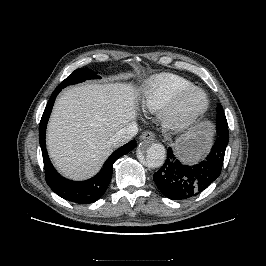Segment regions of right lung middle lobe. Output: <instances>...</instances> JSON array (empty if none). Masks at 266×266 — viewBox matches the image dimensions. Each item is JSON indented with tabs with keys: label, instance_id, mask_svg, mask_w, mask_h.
Masks as SVG:
<instances>
[{
	"label": "right lung middle lobe",
	"instance_id": "right-lung-middle-lobe-1",
	"mask_svg": "<svg viewBox=\"0 0 266 266\" xmlns=\"http://www.w3.org/2000/svg\"><path fill=\"white\" fill-rule=\"evenodd\" d=\"M99 78L92 70L90 69H77L71 75H69L65 80H63L58 86L64 88L67 85L79 83L87 79Z\"/></svg>",
	"mask_w": 266,
	"mask_h": 266
}]
</instances>
